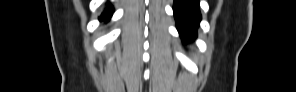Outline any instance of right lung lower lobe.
Listing matches in <instances>:
<instances>
[{"mask_svg": "<svg viewBox=\"0 0 296 92\" xmlns=\"http://www.w3.org/2000/svg\"><path fill=\"white\" fill-rule=\"evenodd\" d=\"M112 13H113V7L111 5H108V9L102 13V15L99 17V20L100 21L104 20L105 22H107L112 16Z\"/></svg>", "mask_w": 296, "mask_h": 92, "instance_id": "right-lung-lower-lobe-1", "label": "right lung lower lobe"}]
</instances>
